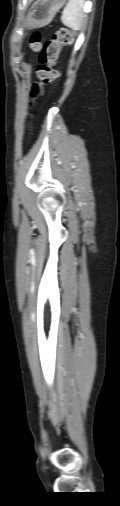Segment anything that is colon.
Wrapping results in <instances>:
<instances>
[{
	"label": "colon",
	"mask_w": 120,
	"mask_h": 506,
	"mask_svg": "<svg viewBox=\"0 0 120 506\" xmlns=\"http://www.w3.org/2000/svg\"><path fill=\"white\" fill-rule=\"evenodd\" d=\"M74 33L67 29H59L54 33L52 38L42 43L41 35L35 32L31 36V48L40 51V65L37 70L39 82L35 84L31 91L33 99L37 98L41 93V86L52 83L58 77V71L55 64L59 57L60 50L63 46L72 44Z\"/></svg>",
	"instance_id": "1"
}]
</instances>
